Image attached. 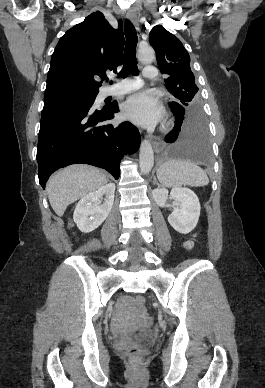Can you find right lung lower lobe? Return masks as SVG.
Returning a JSON list of instances; mask_svg holds the SVG:
<instances>
[{
	"label": "right lung lower lobe",
	"instance_id": "obj_1",
	"mask_svg": "<svg viewBox=\"0 0 265 388\" xmlns=\"http://www.w3.org/2000/svg\"><path fill=\"white\" fill-rule=\"evenodd\" d=\"M117 112L115 101L101 110L68 107L42 114L37 146L41 186L58 168L76 163L104 168L118 179L122 155L135 152L141 140L130 122L108 123Z\"/></svg>",
	"mask_w": 265,
	"mask_h": 388
}]
</instances>
